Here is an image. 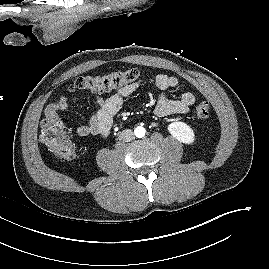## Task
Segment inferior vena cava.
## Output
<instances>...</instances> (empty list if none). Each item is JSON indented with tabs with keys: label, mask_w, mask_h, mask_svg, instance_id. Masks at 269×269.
Returning a JSON list of instances; mask_svg holds the SVG:
<instances>
[{
	"label": "inferior vena cava",
	"mask_w": 269,
	"mask_h": 269,
	"mask_svg": "<svg viewBox=\"0 0 269 269\" xmlns=\"http://www.w3.org/2000/svg\"><path fill=\"white\" fill-rule=\"evenodd\" d=\"M119 139L125 142L132 141L134 139V132L130 129H125L120 133Z\"/></svg>",
	"instance_id": "602c4592"
}]
</instances>
